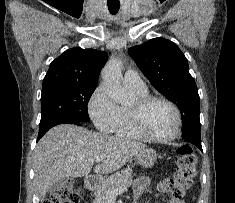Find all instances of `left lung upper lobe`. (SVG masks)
I'll list each match as a JSON object with an SVG mask.
<instances>
[{"label": "left lung upper lobe", "instance_id": "left-lung-upper-lobe-1", "mask_svg": "<svg viewBox=\"0 0 235 203\" xmlns=\"http://www.w3.org/2000/svg\"><path fill=\"white\" fill-rule=\"evenodd\" d=\"M128 52L150 83L179 108L183 136L200 138L197 86L178 46L170 40L154 38Z\"/></svg>", "mask_w": 235, "mask_h": 203}]
</instances>
